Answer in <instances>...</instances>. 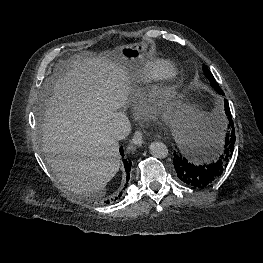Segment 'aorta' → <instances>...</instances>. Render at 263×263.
<instances>
[{
  "mask_svg": "<svg viewBox=\"0 0 263 263\" xmlns=\"http://www.w3.org/2000/svg\"><path fill=\"white\" fill-rule=\"evenodd\" d=\"M149 150L151 155L158 159L166 158L168 155V148L162 142H152L149 146Z\"/></svg>",
  "mask_w": 263,
  "mask_h": 263,
  "instance_id": "aorta-1",
  "label": "aorta"
}]
</instances>
